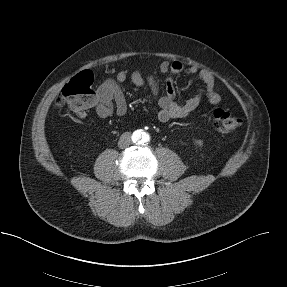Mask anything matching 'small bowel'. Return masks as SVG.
<instances>
[{"label": "small bowel", "mask_w": 287, "mask_h": 287, "mask_svg": "<svg viewBox=\"0 0 287 287\" xmlns=\"http://www.w3.org/2000/svg\"><path fill=\"white\" fill-rule=\"evenodd\" d=\"M159 70L167 77L163 85V92L155 78L151 75H144L141 71H134L130 75L122 70L115 78L104 80L98 87L94 106L95 113L99 118L105 119L112 114L122 116L127 112V102L121 85L130 78L137 87L148 86L151 97L159 106L158 119L167 122L171 119L185 118L194 112L201 105L202 97L205 94L212 104L221 101L218 91L216 77L208 70L199 69L196 66L185 67L181 61H164L160 64ZM181 73L196 76L205 85V90H200L193 96L179 100L176 94L174 77ZM81 118L86 117V112L78 114Z\"/></svg>", "instance_id": "c3829d8e"}]
</instances>
